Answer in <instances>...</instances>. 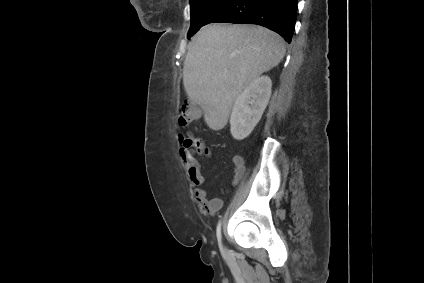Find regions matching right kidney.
<instances>
[{
    "label": "right kidney",
    "instance_id": "1",
    "mask_svg": "<svg viewBox=\"0 0 424 283\" xmlns=\"http://www.w3.org/2000/svg\"><path fill=\"white\" fill-rule=\"evenodd\" d=\"M271 87L268 76L257 77L237 97L230 116L234 139L243 140L251 134L269 102Z\"/></svg>",
    "mask_w": 424,
    "mask_h": 283
}]
</instances>
